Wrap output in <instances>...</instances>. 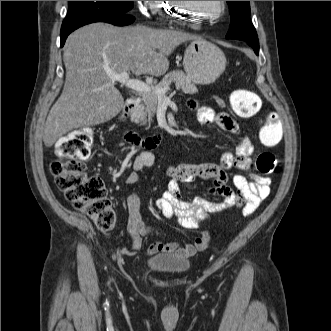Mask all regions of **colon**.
<instances>
[{
	"label": "colon",
	"mask_w": 331,
	"mask_h": 331,
	"mask_svg": "<svg viewBox=\"0 0 331 331\" xmlns=\"http://www.w3.org/2000/svg\"><path fill=\"white\" fill-rule=\"evenodd\" d=\"M230 104L234 113L241 118H250L261 109L260 97L249 90L232 92ZM259 138L267 147H273L282 139V123L278 115L272 113L264 121ZM93 145V135L89 129L70 132L58 140L55 147L56 159L50 170L56 186L75 209L88 215L101 231L113 228L116 220L112 203L107 196L103 180L86 171L85 160ZM256 169L261 174H271L277 166L275 155L270 151L261 152L256 158ZM208 245L203 237L195 239V246L202 250Z\"/></svg>",
	"instance_id": "colon-1"
}]
</instances>
